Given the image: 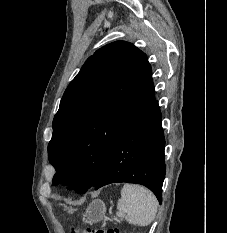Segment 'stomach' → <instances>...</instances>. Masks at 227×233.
Wrapping results in <instances>:
<instances>
[{
  "instance_id": "1",
  "label": "stomach",
  "mask_w": 227,
  "mask_h": 233,
  "mask_svg": "<svg viewBox=\"0 0 227 233\" xmlns=\"http://www.w3.org/2000/svg\"><path fill=\"white\" fill-rule=\"evenodd\" d=\"M64 208L69 212H74V209L64 206ZM106 212L105 204L101 200L93 201L87 208L84 215L85 221L89 224H94L103 220Z\"/></svg>"
}]
</instances>
